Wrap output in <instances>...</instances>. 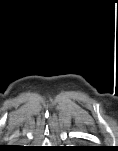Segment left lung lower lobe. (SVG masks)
Masks as SVG:
<instances>
[{
    "instance_id": "left-lung-lower-lobe-1",
    "label": "left lung lower lobe",
    "mask_w": 118,
    "mask_h": 151,
    "mask_svg": "<svg viewBox=\"0 0 118 151\" xmlns=\"http://www.w3.org/2000/svg\"><path fill=\"white\" fill-rule=\"evenodd\" d=\"M73 151H94V148L76 147L72 149Z\"/></svg>"
}]
</instances>
